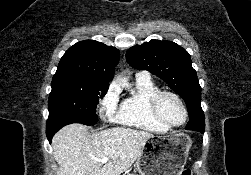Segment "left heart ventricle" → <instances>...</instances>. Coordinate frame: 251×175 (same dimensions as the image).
<instances>
[{
    "label": "left heart ventricle",
    "instance_id": "obj_1",
    "mask_svg": "<svg viewBox=\"0 0 251 175\" xmlns=\"http://www.w3.org/2000/svg\"><path fill=\"white\" fill-rule=\"evenodd\" d=\"M161 116L171 125H181L185 120L182 104L172 95H164L159 102Z\"/></svg>",
    "mask_w": 251,
    "mask_h": 175
}]
</instances>
